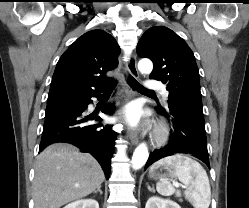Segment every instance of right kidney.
I'll return each instance as SVG.
<instances>
[{"mask_svg":"<svg viewBox=\"0 0 249 208\" xmlns=\"http://www.w3.org/2000/svg\"><path fill=\"white\" fill-rule=\"evenodd\" d=\"M63 208H99V204L94 199H83L70 203Z\"/></svg>","mask_w":249,"mask_h":208,"instance_id":"obj_1","label":"right kidney"}]
</instances>
